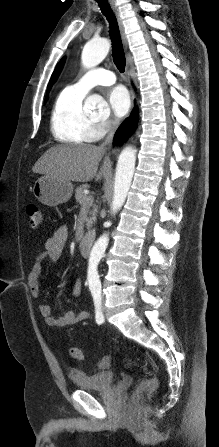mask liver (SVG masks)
<instances>
[{
	"label": "liver",
	"instance_id": "obj_1",
	"mask_svg": "<svg viewBox=\"0 0 219 447\" xmlns=\"http://www.w3.org/2000/svg\"><path fill=\"white\" fill-rule=\"evenodd\" d=\"M105 149L90 145H58L47 150L32 168L34 173L49 174L60 180L87 182L100 181L107 173L110 160L104 159Z\"/></svg>",
	"mask_w": 219,
	"mask_h": 447
}]
</instances>
